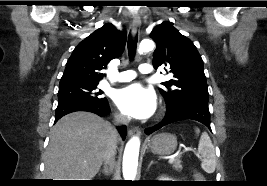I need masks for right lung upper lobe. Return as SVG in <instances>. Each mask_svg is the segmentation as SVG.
<instances>
[{"label": "right lung upper lobe", "mask_w": 267, "mask_h": 186, "mask_svg": "<svg viewBox=\"0 0 267 186\" xmlns=\"http://www.w3.org/2000/svg\"><path fill=\"white\" fill-rule=\"evenodd\" d=\"M127 34L106 23L80 42L67 61L59 85L96 83L103 78L99 71L110 60L119 57L125 47Z\"/></svg>", "instance_id": "cb5924a9"}]
</instances>
